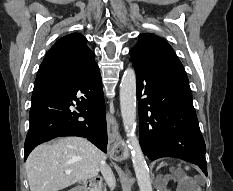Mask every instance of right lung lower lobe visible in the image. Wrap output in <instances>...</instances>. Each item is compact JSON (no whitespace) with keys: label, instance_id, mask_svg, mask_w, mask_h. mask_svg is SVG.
Segmentation results:
<instances>
[{"label":"right lung lower lobe","instance_id":"98d812e1","mask_svg":"<svg viewBox=\"0 0 233 191\" xmlns=\"http://www.w3.org/2000/svg\"><path fill=\"white\" fill-rule=\"evenodd\" d=\"M31 103L24 160L37 145L60 136L84 137L107 152L106 110L96 63L78 75L37 77ZM74 105L77 111L69 109Z\"/></svg>","mask_w":233,"mask_h":191}]
</instances>
